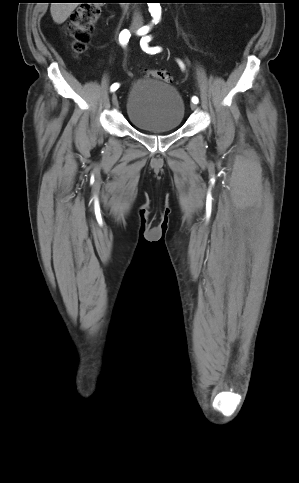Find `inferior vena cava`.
<instances>
[{
  "label": "inferior vena cava",
  "instance_id": "1",
  "mask_svg": "<svg viewBox=\"0 0 299 483\" xmlns=\"http://www.w3.org/2000/svg\"><path fill=\"white\" fill-rule=\"evenodd\" d=\"M143 24V18L140 13H135L132 21V28L138 29Z\"/></svg>",
  "mask_w": 299,
  "mask_h": 483
}]
</instances>
